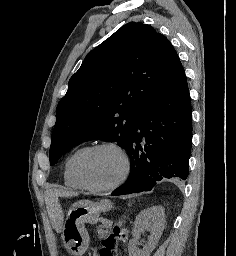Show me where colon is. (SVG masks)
I'll return each instance as SVG.
<instances>
[{
	"instance_id": "colon-1",
	"label": "colon",
	"mask_w": 236,
	"mask_h": 256,
	"mask_svg": "<svg viewBox=\"0 0 236 256\" xmlns=\"http://www.w3.org/2000/svg\"><path fill=\"white\" fill-rule=\"evenodd\" d=\"M120 231L112 229L111 232L102 238L98 256H117V246Z\"/></svg>"
}]
</instances>
